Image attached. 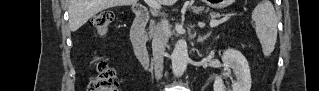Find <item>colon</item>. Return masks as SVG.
I'll return each instance as SVG.
<instances>
[{"instance_id":"1","label":"colon","mask_w":319,"mask_h":91,"mask_svg":"<svg viewBox=\"0 0 319 91\" xmlns=\"http://www.w3.org/2000/svg\"><path fill=\"white\" fill-rule=\"evenodd\" d=\"M114 21L112 12H101L91 19V26L98 35L105 36L109 32V28ZM96 72L88 79V91H116L118 87V79L109 68L107 62L101 58H95Z\"/></svg>"}]
</instances>
